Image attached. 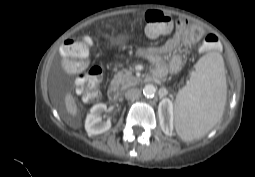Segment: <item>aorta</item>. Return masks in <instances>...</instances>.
I'll return each mask as SVG.
<instances>
[{
  "instance_id": "1",
  "label": "aorta",
  "mask_w": 255,
  "mask_h": 177,
  "mask_svg": "<svg viewBox=\"0 0 255 177\" xmlns=\"http://www.w3.org/2000/svg\"><path fill=\"white\" fill-rule=\"evenodd\" d=\"M156 88L154 85L148 84L143 88V95L147 98H151L155 95Z\"/></svg>"
}]
</instances>
